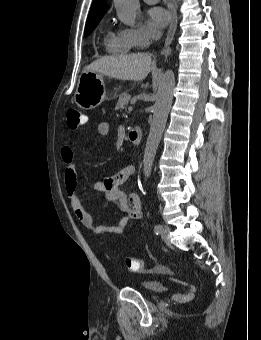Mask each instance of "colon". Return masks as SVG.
Instances as JSON below:
<instances>
[{
  "label": "colon",
  "instance_id": "colon-1",
  "mask_svg": "<svg viewBox=\"0 0 261 340\" xmlns=\"http://www.w3.org/2000/svg\"><path fill=\"white\" fill-rule=\"evenodd\" d=\"M67 125L71 130H76L86 122L85 115L76 107H69L66 114ZM124 264L127 269L137 271L142 267V260L136 257H126Z\"/></svg>",
  "mask_w": 261,
  "mask_h": 340
}]
</instances>
